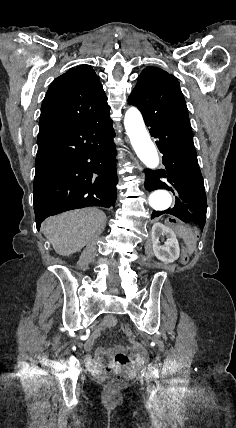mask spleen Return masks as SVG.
I'll return each instance as SVG.
<instances>
[{"mask_svg": "<svg viewBox=\"0 0 236 428\" xmlns=\"http://www.w3.org/2000/svg\"><path fill=\"white\" fill-rule=\"evenodd\" d=\"M177 234L184 240L186 246H188L189 254H193L196 248V236L193 234L191 228L177 226Z\"/></svg>", "mask_w": 236, "mask_h": 428, "instance_id": "spleen-1", "label": "spleen"}]
</instances>
